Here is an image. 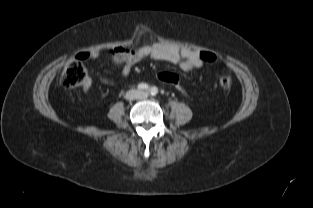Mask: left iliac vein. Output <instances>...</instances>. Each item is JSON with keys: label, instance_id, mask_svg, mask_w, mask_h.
I'll return each instance as SVG.
<instances>
[{"label": "left iliac vein", "instance_id": "left-iliac-vein-1", "mask_svg": "<svg viewBox=\"0 0 313 208\" xmlns=\"http://www.w3.org/2000/svg\"><path fill=\"white\" fill-rule=\"evenodd\" d=\"M148 97V92H139V99H146Z\"/></svg>", "mask_w": 313, "mask_h": 208}]
</instances>
